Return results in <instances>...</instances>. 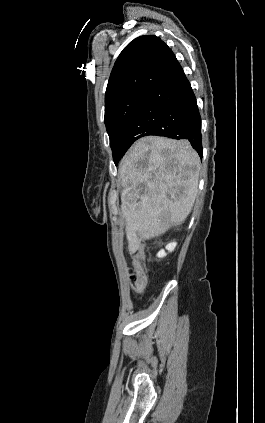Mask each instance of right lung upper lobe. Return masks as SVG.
Instances as JSON below:
<instances>
[{
  "mask_svg": "<svg viewBox=\"0 0 265 423\" xmlns=\"http://www.w3.org/2000/svg\"><path fill=\"white\" fill-rule=\"evenodd\" d=\"M176 59L171 49L154 35L140 36L121 52L112 69L105 109L136 91H150Z\"/></svg>",
  "mask_w": 265,
  "mask_h": 423,
  "instance_id": "cb5924a9",
  "label": "right lung upper lobe"
}]
</instances>
